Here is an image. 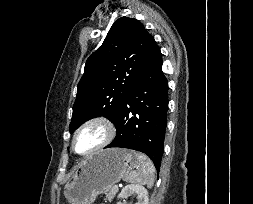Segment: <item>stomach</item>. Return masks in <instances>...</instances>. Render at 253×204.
Masks as SVG:
<instances>
[{
	"instance_id": "stomach-1",
	"label": "stomach",
	"mask_w": 253,
	"mask_h": 204,
	"mask_svg": "<svg viewBox=\"0 0 253 204\" xmlns=\"http://www.w3.org/2000/svg\"><path fill=\"white\" fill-rule=\"evenodd\" d=\"M138 165L137 153L112 148L98 151L83 160L64 187L69 204H92L124 175Z\"/></svg>"
}]
</instances>
